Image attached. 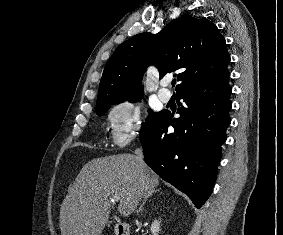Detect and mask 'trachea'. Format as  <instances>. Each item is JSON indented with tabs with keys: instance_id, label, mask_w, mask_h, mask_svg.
Masks as SVG:
<instances>
[{
	"instance_id": "obj_1",
	"label": "trachea",
	"mask_w": 283,
	"mask_h": 235,
	"mask_svg": "<svg viewBox=\"0 0 283 235\" xmlns=\"http://www.w3.org/2000/svg\"><path fill=\"white\" fill-rule=\"evenodd\" d=\"M176 84V80H173L172 81V85L174 86Z\"/></svg>"
}]
</instances>
